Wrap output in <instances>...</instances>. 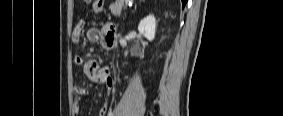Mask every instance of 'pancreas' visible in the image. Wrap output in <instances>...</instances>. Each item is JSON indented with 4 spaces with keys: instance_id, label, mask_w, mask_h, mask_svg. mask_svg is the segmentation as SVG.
Wrapping results in <instances>:
<instances>
[{
    "instance_id": "1",
    "label": "pancreas",
    "mask_w": 283,
    "mask_h": 116,
    "mask_svg": "<svg viewBox=\"0 0 283 116\" xmlns=\"http://www.w3.org/2000/svg\"><path fill=\"white\" fill-rule=\"evenodd\" d=\"M123 1L118 0L110 6L111 13L113 15L119 16L122 12Z\"/></svg>"
}]
</instances>
